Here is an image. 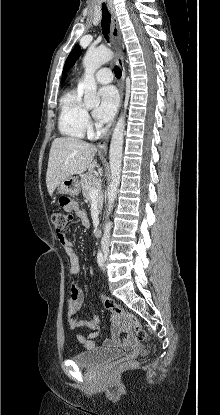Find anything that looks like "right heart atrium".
<instances>
[{"label": "right heart atrium", "instance_id": "right-heart-atrium-1", "mask_svg": "<svg viewBox=\"0 0 220 415\" xmlns=\"http://www.w3.org/2000/svg\"><path fill=\"white\" fill-rule=\"evenodd\" d=\"M87 123H88L89 129H91L93 127V122L88 115H87Z\"/></svg>", "mask_w": 220, "mask_h": 415}]
</instances>
